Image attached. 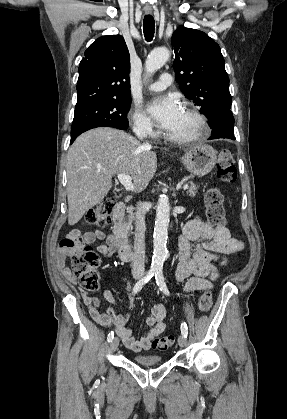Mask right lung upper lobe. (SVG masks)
<instances>
[{
    "label": "right lung upper lobe",
    "instance_id": "1",
    "mask_svg": "<svg viewBox=\"0 0 287 419\" xmlns=\"http://www.w3.org/2000/svg\"><path fill=\"white\" fill-rule=\"evenodd\" d=\"M129 51L120 35L102 36L85 51L79 65L75 108L130 97Z\"/></svg>",
    "mask_w": 287,
    "mask_h": 419
}]
</instances>
